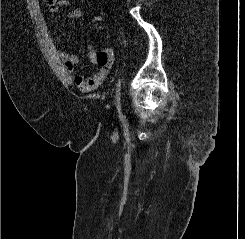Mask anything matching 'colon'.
Segmentation results:
<instances>
[{"mask_svg":"<svg viewBox=\"0 0 245 239\" xmlns=\"http://www.w3.org/2000/svg\"><path fill=\"white\" fill-rule=\"evenodd\" d=\"M46 2H48V3H53V2H55L54 0H46Z\"/></svg>","mask_w":245,"mask_h":239,"instance_id":"colon-1","label":"colon"}]
</instances>
